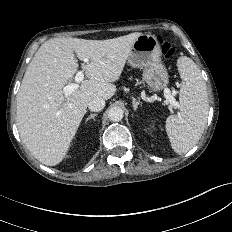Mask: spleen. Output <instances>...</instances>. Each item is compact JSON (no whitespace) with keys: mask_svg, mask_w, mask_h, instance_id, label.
Returning a JSON list of instances; mask_svg holds the SVG:
<instances>
[{"mask_svg":"<svg viewBox=\"0 0 232 232\" xmlns=\"http://www.w3.org/2000/svg\"><path fill=\"white\" fill-rule=\"evenodd\" d=\"M177 67L182 79L180 113L166 120V131L177 154L188 152L202 136L208 115V94L201 72L192 59L179 57Z\"/></svg>","mask_w":232,"mask_h":232,"instance_id":"3e777b00","label":"spleen"}]
</instances>
